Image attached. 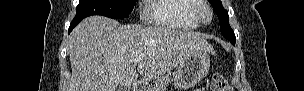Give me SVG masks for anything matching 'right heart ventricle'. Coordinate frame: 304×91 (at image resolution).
Here are the masks:
<instances>
[{"label": "right heart ventricle", "instance_id": "1", "mask_svg": "<svg viewBox=\"0 0 304 91\" xmlns=\"http://www.w3.org/2000/svg\"><path fill=\"white\" fill-rule=\"evenodd\" d=\"M198 5L197 0H151L149 13L157 26L193 30L200 26L195 17Z\"/></svg>", "mask_w": 304, "mask_h": 91}]
</instances>
